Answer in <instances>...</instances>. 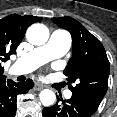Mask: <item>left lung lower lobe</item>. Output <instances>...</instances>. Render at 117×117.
I'll list each match as a JSON object with an SVG mask.
<instances>
[{"label": "left lung lower lobe", "mask_w": 117, "mask_h": 117, "mask_svg": "<svg viewBox=\"0 0 117 117\" xmlns=\"http://www.w3.org/2000/svg\"><path fill=\"white\" fill-rule=\"evenodd\" d=\"M95 111V108L72 95L69 100L64 101L57 98L55 105L43 109V117H91Z\"/></svg>", "instance_id": "0a47b994"}]
</instances>
